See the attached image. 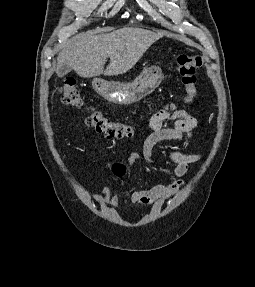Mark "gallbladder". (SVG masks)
I'll return each mask as SVG.
<instances>
[{
  "label": "gallbladder",
  "instance_id": "gallbladder-1",
  "mask_svg": "<svg viewBox=\"0 0 255 287\" xmlns=\"http://www.w3.org/2000/svg\"><path fill=\"white\" fill-rule=\"evenodd\" d=\"M69 72H72V68H70V66H60V68H57L56 70L58 78H63V76H66Z\"/></svg>",
  "mask_w": 255,
  "mask_h": 287
}]
</instances>
